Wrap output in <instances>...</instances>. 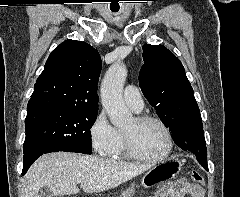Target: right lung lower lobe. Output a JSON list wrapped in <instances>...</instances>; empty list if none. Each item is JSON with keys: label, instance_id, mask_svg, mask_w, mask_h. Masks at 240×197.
I'll use <instances>...</instances> for the list:
<instances>
[{"label": "right lung lower lobe", "instance_id": "right-lung-lower-lobe-1", "mask_svg": "<svg viewBox=\"0 0 240 197\" xmlns=\"http://www.w3.org/2000/svg\"><path fill=\"white\" fill-rule=\"evenodd\" d=\"M49 152H57V151H54V150H48V151H44V152H40V153H37L35 154L34 156L26 159L23 161V171H22V175H24L26 173V171L28 170V168L31 166V164L42 154H45V153H49Z\"/></svg>", "mask_w": 240, "mask_h": 197}]
</instances>
